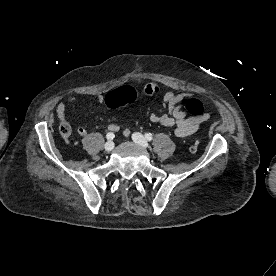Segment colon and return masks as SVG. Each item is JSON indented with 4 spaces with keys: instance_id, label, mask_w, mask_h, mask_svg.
Here are the masks:
<instances>
[{
    "instance_id": "1",
    "label": "colon",
    "mask_w": 276,
    "mask_h": 276,
    "mask_svg": "<svg viewBox=\"0 0 276 276\" xmlns=\"http://www.w3.org/2000/svg\"><path fill=\"white\" fill-rule=\"evenodd\" d=\"M141 94L143 96H152L155 94V89L149 85H145L141 89ZM136 96V90L132 87L126 86L121 89L110 92L107 95L106 103L108 104V106L116 108L121 105L133 102L136 99ZM182 103L185 109L193 116L199 117L204 114V107L198 99L185 98L182 101ZM60 133L63 137L68 138L72 133L71 126L68 123H62L60 125ZM198 148L199 143L197 141H194L190 144L189 151L191 153H195L198 151Z\"/></svg>"
}]
</instances>
